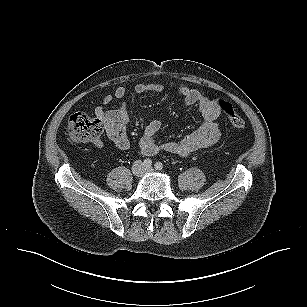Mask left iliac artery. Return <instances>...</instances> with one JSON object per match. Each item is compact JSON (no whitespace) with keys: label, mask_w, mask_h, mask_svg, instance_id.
Instances as JSON below:
<instances>
[{"label":"left iliac artery","mask_w":307,"mask_h":307,"mask_svg":"<svg viewBox=\"0 0 307 307\" xmlns=\"http://www.w3.org/2000/svg\"><path fill=\"white\" fill-rule=\"evenodd\" d=\"M154 166H155L156 170H162L163 169V164L161 162H156Z\"/></svg>","instance_id":"44dca946"}]
</instances>
